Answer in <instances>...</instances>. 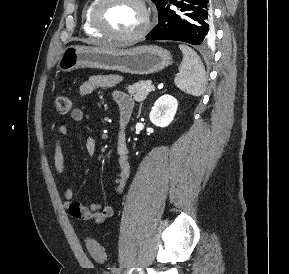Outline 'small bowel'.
Segmentation results:
<instances>
[{"label":"small bowel","instance_id":"1","mask_svg":"<svg viewBox=\"0 0 289 274\" xmlns=\"http://www.w3.org/2000/svg\"><path fill=\"white\" fill-rule=\"evenodd\" d=\"M120 81L118 76L114 75H97L88 78L79 88V95L84 97L98 89L113 88ZM114 100L119 108L120 114L128 112L130 115L133 110L132 99L124 92L115 91L113 93ZM84 118V113L81 109L75 108L71 111V119L79 122ZM68 133V124L64 123L59 127L55 140L54 151V166L56 173L61 175L65 169V156L62 150L63 143L66 140ZM85 149L88 155L93 156L97 150V142L94 137L89 136L85 141ZM117 152L119 155V170L115 173V185L113 193L120 196L125 187V183L130 174V164L128 160V149L126 144V133L120 130L117 137ZM65 199L64 206L69 210L71 215L79 220L92 221L95 225L101 224L106 219L111 218L114 214V209L111 206H101L98 203L84 205L83 203L74 201V193L71 189H66L63 192Z\"/></svg>","mask_w":289,"mask_h":274}]
</instances>
